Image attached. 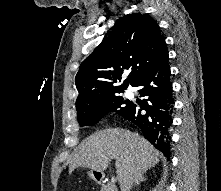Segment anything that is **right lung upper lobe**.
I'll return each mask as SVG.
<instances>
[{
  "label": "right lung upper lobe",
  "instance_id": "obj_1",
  "mask_svg": "<svg viewBox=\"0 0 221 191\" xmlns=\"http://www.w3.org/2000/svg\"><path fill=\"white\" fill-rule=\"evenodd\" d=\"M167 53L164 37L153 18L133 13L120 18L110 35L80 65L75 83L80 113L132 86ZM130 72L131 79L122 85L121 76Z\"/></svg>",
  "mask_w": 221,
  "mask_h": 191
}]
</instances>
